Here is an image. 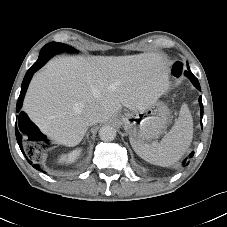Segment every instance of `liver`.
Returning a JSON list of instances; mask_svg holds the SVG:
<instances>
[{"instance_id": "liver-1", "label": "liver", "mask_w": 227, "mask_h": 227, "mask_svg": "<svg viewBox=\"0 0 227 227\" xmlns=\"http://www.w3.org/2000/svg\"><path fill=\"white\" fill-rule=\"evenodd\" d=\"M169 74L156 53L55 58L33 77L23 108L48 138L73 147L88 129V111L98 113V122L122 106L144 111L168 91Z\"/></svg>"}]
</instances>
